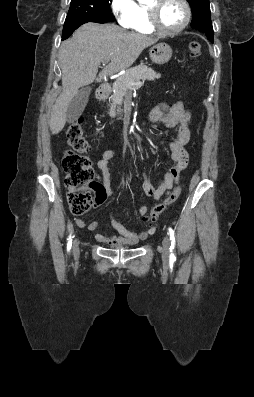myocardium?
<instances>
[{
	"mask_svg": "<svg viewBox=\"0 0 254 397\" xmlns=\"http://www.w3.org/2000/svg\"><path fill=\"white\" fill-rule=\"evenodd\" d=\"M165 0H155L153 5H149L147 7V13H148V22L152 30L158 34L165 35V36H173L181 33L189 24L190 18H191V8L187 0H178V2L183 6L184 8V18L182 23L175 29H165L161 27V25L158 22V17H157V7L159 4L164 2Z\"/></svg>",
	"mask_w": 254,
	"mask_h": 397,
	"instance_id": "f54148a6",
	"label": "myocardium"
}]
</instances>
